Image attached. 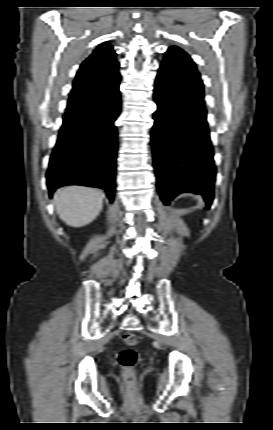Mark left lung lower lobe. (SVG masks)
Returning <instances> with one entry per match:
<instances>
[{
    "mask_svg": "<svg viewBox=\"0 0 273 430\" xmlns=\"http://www.w3.org/2000/svg\"><path fill=\"white\" fill-rule=\"evenodd\" d=\"M154 98L157 110L151 142L160 198L170 204L179 193H198L208 208L214 198L216 167L206 108L196 98L180 93L161 72Z\"/></svg>",
    "mask_w": 273,
    "mask_h": 430,
    "instance_id": "1",
    "label": "left lung lower lobe"
}]
</instances>
